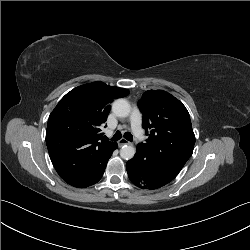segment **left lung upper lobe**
<instances>
[{"label": "left lung upper lobe", "mask_w": 250, "mask_h": 250, "mask_svg": "<svg viewBox=\"0 0 250 250\" xmlns=\"http://www.w3.org/2000/svg\"><path fill=\"white\" fill-rule=\"evenodd\" d=\"M138 107L143 114L142 126L149 137L137 147L144 149L153 161H165L182 169L195 144L186 107L163 90L144 92Z\"/></svg>", "instance_id": "5c2ea615"}]
</instances>
